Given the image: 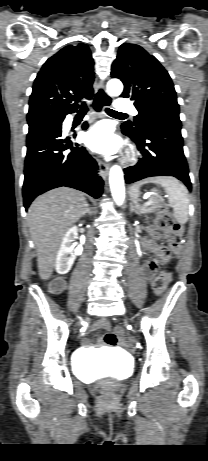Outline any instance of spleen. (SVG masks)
I'll return each instance as SVG.
<instances>
[{"label":"spleen","mask_w":208,"mask_h":461,"mask_svg":"<svg viewBox=\"0 0 208 461\" xmlns=\"http://www.w3.org/2000/svg\"><path fill=\"white\" fill-rule=\"evenodd\" d=\"M146 183H155L162 186L169 195V204L173 207L174 217L180 224H185L188 221L189 214V196L186 187L181 184L176 178L171 176H158L135 183L130 189V198L136 208L141 213H147L146 208L138 204L139 188Z\"/></svg>","instance_id":"3e777b00"}]
</instances>
